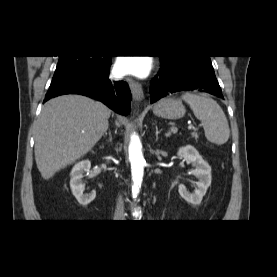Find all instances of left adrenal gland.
I'll use <instances>...</instances> for the list:
<instances>
[{"instance_id": "a2214340", "label": "left adrenal gland", "mask_w": 277, "mask_h": 277, "mask_svg": "<svg viewBox=\"0 0 277 277\" xmlns=\"http://www.w3.org/2000/svg\"><path fill=\"white\" fill-rule=\"evenodd\" d=\"M160 132H161V130H158V127L156 126V133H155L156 141H158V135H159Z\"/></svg>"}]
</instances>
